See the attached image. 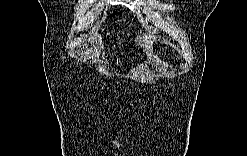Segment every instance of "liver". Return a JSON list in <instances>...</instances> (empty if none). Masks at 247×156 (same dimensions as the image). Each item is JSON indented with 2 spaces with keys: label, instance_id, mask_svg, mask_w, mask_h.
Listing matches in <instances>:
<instances>
[{
  "label": "liver",
  "instance_id": "liver-1",
  "mask_svg": "<svg viewBox=\"0 0 247 156\" xmlns=\"http://www.w3.org/2000/svg\"><path fill=\"white\" fill-rule=\"evenodd\" d=\"M136 42H141V40H139V37L136 38ZM119 44H120V42H119ZM150 48H151V41L149 40V41H146V43H145V49L147 51H149Z\"/></svg>",
  "mask_w": 247,
  "mask_h": 156
}]
</instances>
